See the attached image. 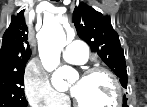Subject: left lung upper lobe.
Here are the masks:
<instances>
[{
	"instance_id": "left-lung-upper-lobe-1",
	"label": "left lung upper lobe",
	"mask_w": 147,
	"mask_h": 107,
	"mask_svg": "<svg viewBox=\"0 0 147 107\" xmlns=\"http://www.w3.org/2000/svg\"><path fill=\"white\" fill-rule=\"evenodd\" d=\"M73 23L78 36L91 47L92 51L97 52L105 64L120 78L122 86L127 88L125 57L119 36L113 29L110 18L81 3L73 12Z\"/></svg>"
}]
</instances>
